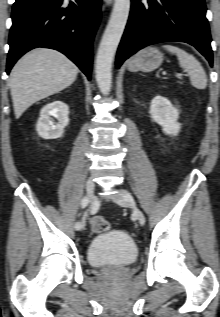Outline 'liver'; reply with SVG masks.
<instances>
[{
    "instance_id": "1",
    "label": "liver",
    "mask_w": 220,
    "mask_h": 317,
    "mask_svg": "<svg viewBox=\"0 0 220 317\" xmlns=\"http://www.w3.org/2000/svg\"><path fill=\"white\" fill-rule=\"evenodd\" d=\"M78 72V67L56 50L38 48L25 54L9 79L16 119L35 102L70 86Z\"/></svg>"
}]
</instances>
